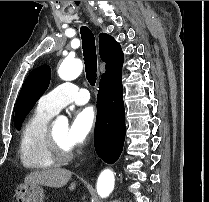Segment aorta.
Instances as JSON below:
<instances>
[{
	"instance_id": "obj_1",
	"label": "aorta",
	"mask_w": 209,
	"mask_h": 202,
	"mask_svg": "<svg viewBox=\"0 0 209 202\" xmlns=\"http://www.w3.org/2000/svg\"><path fill=\"white\" fill-rule=\"evenodd\" d=\"M83 70V64L79 59H65L58 68V75L62 80L76 79ZM59 123L66 124L65 117L58 118ZM115 176L111 169H104L97 180V193L100 197H108L114 189Z\"/></svg>"
}]
</instances>
